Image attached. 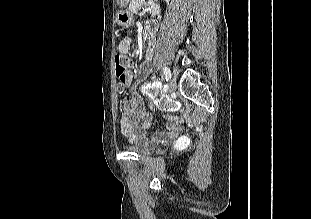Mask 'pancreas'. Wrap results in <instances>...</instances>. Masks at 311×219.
<instances>
[{"instance_id":"pancreas-1","label":"pancreas","mask_w":311,"mask_h":219,"mask_svg":"<svg viewBox=\"0 0 311 219\" xmlns=\"http://www.w3.org/2000/svg\"><path fill=\"white\" fill-rule=\"evenodd\" d=\"M141 6H146L147 8L145 11H149L154 8V3H147L145 0H132L129 10L134 13Z\"/></svg>"}]
</instances>
